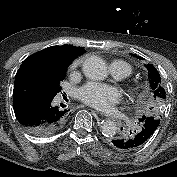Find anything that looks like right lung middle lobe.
I'll return each mask as SVG.
<instances>
[{
	"instance_id": "right-lung-middle-lobe-1",
	"label": "right lung middle lobe",
	"mask_w": 177,
	"mask_h": 177,
	"mask_svg": "<svg viewBox=\"0 0 177 177\" xmlns=\"http://www.w3.org/2000/svg\"><path fill=\"white\" fill-rule=\"evenodd\" d=\"M66 71L50 78H40L35 75H31L25 78L19 86L23 89H29L39 94L56 96L60 92V81L65 77Z\"/></svg>"
}]
</instances>
